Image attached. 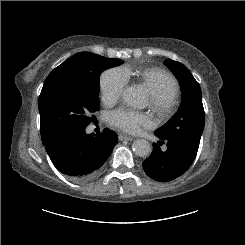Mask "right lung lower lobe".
Returning a JSON list of instances; mask_svg holds the SVG:
<instances>
[{"label":"right lung lower lobe","mask_w":245,"mask_h":245,"mask_svg":"<svg viewBox=\"0 0 245 245\" xmlns=\"http://www.w3.org/2000/svg\"><path fill=\"white\" fill-rule=\"evenodd\" d=\"M115 132L86 134L85 128L64 132L43 143L54 166L76 181L94 178L117 144Z\"/></svg>","instance_id":"98d812e1"}]
</instances>
